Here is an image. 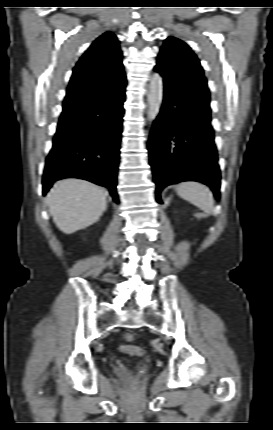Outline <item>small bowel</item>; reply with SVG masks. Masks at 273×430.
I'll return each instance as SVG.
<instances>
[{"instance_id":"1","label":"small bowel","mask_w":273,"mask_h":430,"mask_svg":"<svg viewBox=\"0 0 273 430\" xmlns=\"http://www.w3.org/2000/svg\"><path fill=\"white\" fill-rule=\"evenodd\" d=\"M129 348H131V346H121V350H126V349H129Z\"/></svg>"}]
</instances>
